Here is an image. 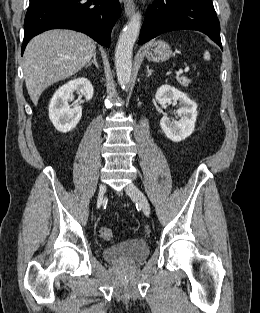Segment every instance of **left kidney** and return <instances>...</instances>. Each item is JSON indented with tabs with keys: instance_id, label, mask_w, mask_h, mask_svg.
<instances>
[{
	"instance_id": "5707ae66",
	"label": "left kidney",
	"mask_w": 260,
	"mask_h": 313,
	"mask_svg": "<svg viewBox=\"0 0 260 313\" xmlns=\"http://www.w3.org/2000/svg\"><path fill=\"white\" fill-rule=\"evenodd\" d=\"M156 101L166 107L167 104L179 101L178 118L173 121L167 116L160 120V126L170 140L180 142L189 137L195 128L197 104L186 94L170 85H162L155 94Z\"/></svg>"
}]
</instances>
